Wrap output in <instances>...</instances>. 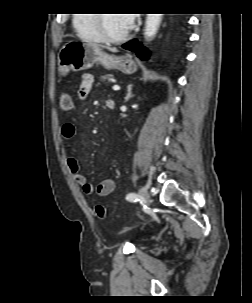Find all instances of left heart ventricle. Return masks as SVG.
I'll return each mask as SVG.
<instances>
[{
	"instance_id": "obj_1",
	"label": "left heart ventricle",
	"mask_w": 252,
	"mask_h": 303,
	"mask_svg": "<svg viewBox=\"0 0 252 303\" xmlns=\"http://www.w3.org/2000/svg\"><path fill=\"white\" fill-rule=\"evenodd\" d=\"M104 28L112 36L122 35L128 30L123 14L115 13L105 14Z\"/></svg>"
}]
</instances>
